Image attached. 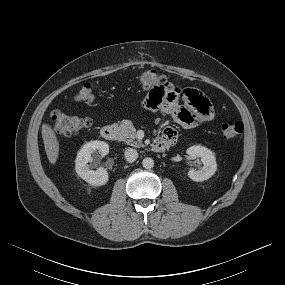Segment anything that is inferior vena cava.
Masks as SVG:
<instances>
[{
	"instance_id": "obj_1",
	"label": "inferior vena cava",
	"mask_w": 285,
	"mask_h": 285,
	"mask_svg": "<svg viewBox=\"0 0 285 285\" xmlns=\"http://www.w3.org/2000/svg\"><path fill=\"white\" fill-rule=\"evenodd\" d=\"M138 158V152L136 149L133 148H127L125 150V159L132 163Z\"/></svg>"
}]
</instances>
